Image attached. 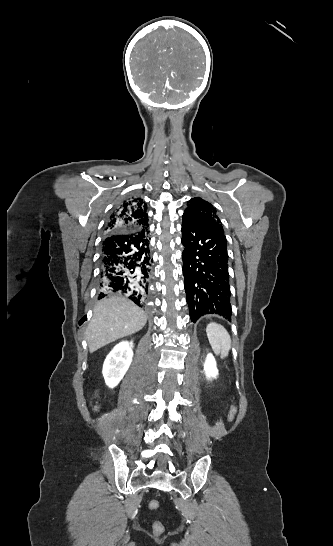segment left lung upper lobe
Returning a JSON list of instances; mask_svg holds the SVG:
<instances>
[{
	"label": "left lung upper lobe",
	"instance_id": "1",
	"mask_svg": "<svg viewBox=\"0 0 333 546\" xmlns=\"http://www.w3.org/2000/svg\"><path fill=\"white\" fill-rule=\"evenodd\" d=\"M183 216H188L202 223H216L221 225V221L216 215V209L212 204L202 198H193L186 208Z\"/></svg>",
	"mask_w": 333,
	"mask_h": 546
}]
</instances>
